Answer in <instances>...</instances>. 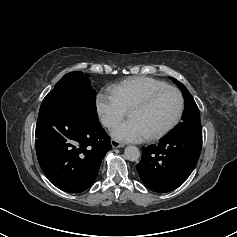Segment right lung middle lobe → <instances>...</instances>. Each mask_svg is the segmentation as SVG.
I'll return each instance as SVG.
<instances>
[{
    "mask_svg": "<svg viewBox=\"0 0 237 237\" xmlns=\"http://www.w3.org/2000/svg\"><path fill=\"white\" fill-rule=\"evenodd\" d=\"M44 101L56 104L79 118L98 120L96 91L93 90L88 75L82 72L64 75Z\"/></svg>",
    "mask_w": 237,
    "mask_h": 237,
    "instance_id": "obj_1",
    "label": "right lung middle lobe"
}]
</instances>
